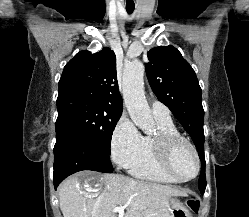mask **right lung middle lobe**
<instances>
[{
  "label": "right lung middle lobe",
  "instance_id": "1",
  "mask_svg": "<svg viewBox=\"0 0 249 217\" xmlns=\"http://www.w3.org/2000/svg\"><path fill=\"white\" fill-rule=\"evenodd\" d=\"M57 108L56 128L69 127L110 154L112 133L122 108L80 96L58 97Z\"/></svg>",
  "mask_w": 249,
  "mask_h": 217
}]
</instances>
